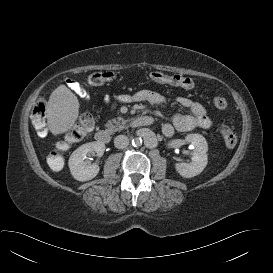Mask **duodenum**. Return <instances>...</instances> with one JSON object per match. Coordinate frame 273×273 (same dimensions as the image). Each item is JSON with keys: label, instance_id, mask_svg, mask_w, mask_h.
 Returning a JSON list of instances; mask_svg holds the SVG:
<instances>
[{"label": "duodenum", "instance_id": "duodenum-1", "mask_svg": "<svg viewBox=\"0 0 273 273\" xmlns=\"http://www.w3.org/2000/svg\"><path fill=\"white\" fill-rule=\"evenodd\" d=\"M152 118L149 116L145 115H139L133 118L130 122L129 125L132 127H146L152 123ZM112 138V133L107 130V129H100L95 133V139L97 142L102 143V144H107L111 141Z\"/></svg>", "mask_w": 273, "mask_h": 273}]
</instances>
